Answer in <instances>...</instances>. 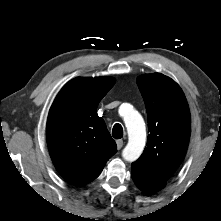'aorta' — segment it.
<instances>
[{
	"instance_id": "obj_1",
	"label": "aorta",
	"mask_w": 221,
	"mask_h": 221,
	"mask_svg": "<svg viewBox=\"0 0 221 221\" xmlns=\"http://www.w3.org/2000/svg\"><path fill=\"white\" fill-rule=\"evenodd\" d=\"M122 107L130 108L127 104ZM124 121L128 132V143L122 151L126 161L133 162L142 154L146 143L145 123L142 116L132 109L124 115Z\"/></svg>"
}]
</instances>
